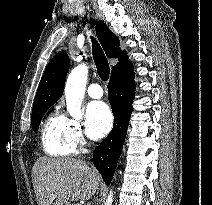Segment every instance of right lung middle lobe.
<instances>
[{"mask_svg": "<svg viewBox=\"0 0 212 205\" xmlns=\"http://www.w3.org/2000/svg\"><path fill=\"white\" fill-rule=\"evenodd\" d=\"M52 104L50 105H42V106H38V107H34L32 110V116H31V121H32V129L37 132L40 121L42 119V117L44 116V114L46 113V111L49 109V107H51Z\"/></svg>", "mask_w": 212, "mask_h": 205, "instance_id": "1", "label": "right lung middle lobe"}]
</instances>
